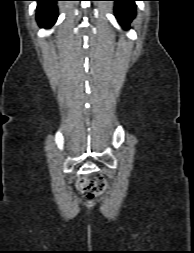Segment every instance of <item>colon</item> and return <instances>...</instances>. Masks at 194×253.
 <instances>
[{
	"instance_id": "1",
	"label": "colon",
	"mask_w": 194,
	"mask_h": 253,
	"mask_svg": "<svg viewBox=\"0 0 194 253\" xmlns=\"http://www.w3.org/2000/svg\"><path fill=\"white\" fill-rule=\"evenodd\" d=\"M77 185L86 196L95 197L102 194L107 189L108 182L102 177L95 179L83 177L78 180Z\"/></svg>"
}]
</instances>
